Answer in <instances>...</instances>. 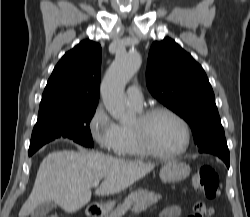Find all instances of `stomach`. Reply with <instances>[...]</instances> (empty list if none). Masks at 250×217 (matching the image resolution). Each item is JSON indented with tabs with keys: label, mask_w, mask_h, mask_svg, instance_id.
Masks as SVG:
<instances>
[{
	"label": "stomach",
	"mask_w": 250,
	"mask_h": 217,
	"mask_svg": "<svg viewBox=\"0 0 250 217\" xmlns=\"http://www.w3.org/2000/svg\"><path fill=\"white\" fill-rule=\"evenodd\" d=\"M190 166L179 161H169L160 170V178L163 182L176 183L184 180L190 174ZM115 202L111 201L107 209L113 208Z\"/></svg>",
	"instance_id": "stomach-1"
}]
</instances>
